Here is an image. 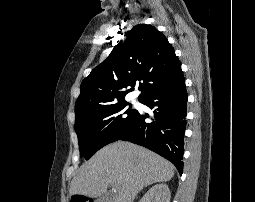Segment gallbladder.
<instances>
[{"mask_svg": "<svg viewBox=\"0 0 255 202\" xmlns=\"http://www.w3.org/2000/svg\"><path fill=\"white\" fill-rule=\"evenodd\" d=\"M103 199H104V196H100V197L98 198V202H102Z\"/></svg>", "mask_w": 255, "mask_h": 202, "instance_id": "bac80fb5", "label": "gallbladder"}]
</instances>
